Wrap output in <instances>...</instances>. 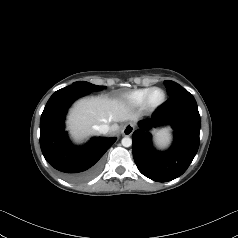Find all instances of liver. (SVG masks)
Segmentation results:
<instances>
[{"label":"liver","instance_id":"liver-1","mask_svg":"<svg viewBox=\"0 0 238 238\" xmlns=\"http://www.w3.org/2000/svg\"><path fill=\"white\" fill-rule=\"evenodd\" d=\"M138 114L118 99L100 97L84 98L77 101L71 109L67 129L76 142H81L97 133L96 127L101 124L110 126V133L119 130L117 122L136 121Z\"/></svg>","mask_w":238,"mask_h":238}]
</instances>
